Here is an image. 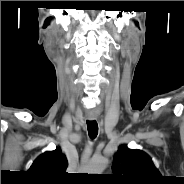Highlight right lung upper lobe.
<instances>
[{"mask_svg": "<svg viewBox=\"0 0 184 184\" xmlns=\"http://www.w3.org/2000/svg\"><path fill=\"white\" fill-rule=\"evenodd\" d=\"M67 158L57 147L41 154L29 168L37 183L62 184L67 180Z\"/></svg>", "mask_w": 184, "mask_h": 184, "instance_id": "obj_1", "label": "right lung upper lobe"}]
</instances>
